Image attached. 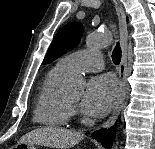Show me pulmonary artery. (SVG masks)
<instances>
[{"label": "pulmonary artery", "instance_id": "1", "mask_svg": "<svg viewBox=\"0 0 155 149\" xmlns=\"http://www.w3.org/2000/svg\"><path fill=\"white\" fill-rule=\"evenodd\" d=\"M57 65L70 75L77 72L99 71L104 66V60L96 50H82L61 58Z\"/></svg>", "mask_w": 155, "mask_h": 149}]
</instances>
